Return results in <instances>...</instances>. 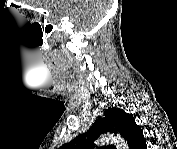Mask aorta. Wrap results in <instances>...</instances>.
Returning a JSON list of instances; mask_svg holds the SVG:
<instances>
[{"label": "aorta", "instance_id": "obj_1", "mask_svg": "<svg viewBox=\"0 0 177 149\" xmlns=\"http://www.w3.org/2000/svg\"><path fill=\"white\" fill-rule=\"evenodd\" d=\"M109 142H115V143H117L119 146H121L123 148L126 147V144H125L124 140L121 139L118 136L107 135V136H102L98 140L99 144H106V143H109Z\"/></svg>", "mask_w": 177, "mask_h": 149}]
</instances>
